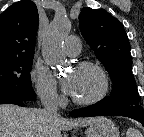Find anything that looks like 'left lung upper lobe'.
<instances>
[{"mask_svg":"<svg viewBox=\"0 0 144 137\" xmlns=\"http://www.w3.org/2000/svg\"><path fill=\"white\" fill-rule=\"evenodd\" d=\"M80 31L112 79V93L102 100L107 106L139 105L132 75L130 43L123 25L103 9L84 8L79 15Z\"/></svg>","mask_w":144,"mask_h":137,"instance_id":"left-lung-upper-lobe-1","label":"left lung upper lobe"}]
</instances>
